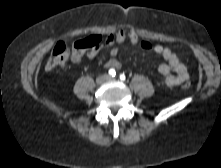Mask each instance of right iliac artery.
<instances>
[{
    "mask_svg": "<svg viewBox=\"0 0 221 168\" xmlns=\"http://www.w3.org/2000/svg\"><path fill=\"white\" fill-rule=\"evenodd\" d=\"M108 73H109V75L112 76V77H114V76L116 75L115 69H110Z\"/></svg>",
    "mask_w": 221,
    "mask_h": 168,
    "instance_id": "right-iliac-artery-1",
    "label": "right iliac artery"
}]
</instances>
